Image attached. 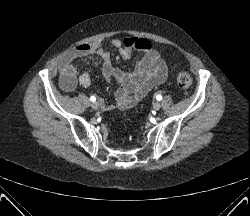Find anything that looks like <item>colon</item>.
Wrapping results in <instances>:
<instances>
[{
	"mask_svg": "<svg viewBox=\"0 0 250 216\" xmlns=\"http://www.w3.org/2000/svg\"><path fill=\"white\" fill-rule=\"evenodd\" d=\"M176 79L179 87L185 92H189L192 86V78L190 74L186 71H178L176 74Z\"/></svg>",
	"mask_w": 250,
	"mask_h": 216,
	"instance_id": "obj_1",
	"label": "colon"
}]
</instances>
